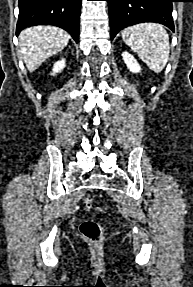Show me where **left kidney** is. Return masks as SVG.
Returning a JSON list of instances; mask_svg holds the SVG:
<instances>
[{"label": "left kidney", "mask_w": 193, "mask_h": 287, "mask_svg": "<svg viewBox=\"0 0 193 287\" xmlns=\"http://www.w3.org/2000/svg\"><path fill=\"white\" fill-rule=\"evenodd\" d=\"M123 60L128 67V69L133 73H139L141 71V67L137 60L128 52L122 53Z\"/></svg>", "instance_id": "5707ae66"}]
</instances>
